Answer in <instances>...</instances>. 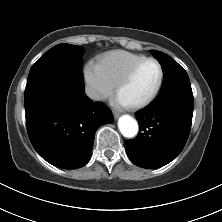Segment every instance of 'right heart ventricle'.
<instances>
[{"label":"right heart ventricle","mask_w":222,"mask_h":222,"mask_svg":"<svg viewBox=\"0 0 222 222\" xmlns=\"http://www.w3.org/2000/svg\"><path fill=\"white\" fill-rule=\"evenodd\" d=\"M145 58L141 54L116 50L104 55L98 66L103 76L115 86L134 64Z\"/></svg>","instance_id":"right-heart-ventricle-1"}]
</instances>
